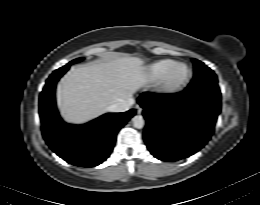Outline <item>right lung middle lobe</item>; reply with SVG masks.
Returning a JSON list of instances; mask_svg holds the SVG:
<instances>
[{"label": "right lung middle lobe", "instance_id": "obj_1", "mask_svg": "<svg viewBox=\"0 0 260 205\" xmlns=\"http://www.w3.org/2000/svg\"><path fill=\"white\" fill-rule=\"evenodd\" d=\"M83 58H79V59H75L73 61H71L70 63H68L67 65L61 67L62 69H67L71 64L77 63L79 61H81Z\"/></svg>", "mask_w": 260, "mask_h": 205}]
</instances>
